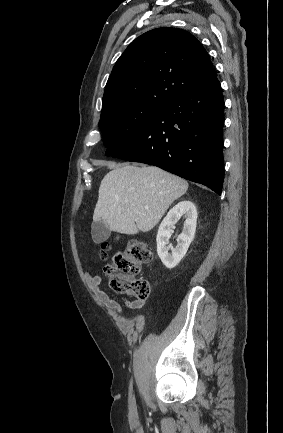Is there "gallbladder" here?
I'll list each match as a JSON object with an SVG mask.
<instances>
[{"label":"gallbladder","instance_id":"bac80fb5","mask_svg":"<svg viewBox=\"0 0 283 433\" xmlns=\"http://www.w3.org/2000/svg\"><path fill=\"white\" fill-rule=\"evenodd\" d=\"M110 229L106 227L103 221H96V223H92L91 225V235L94 243H104L110 237Z\"/></svg>","mask_w":283,"mask_h":433}]
</instances>
